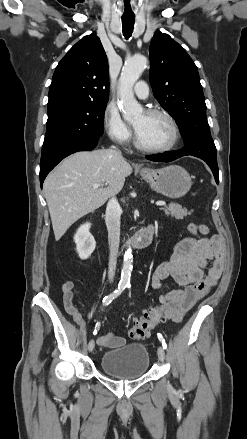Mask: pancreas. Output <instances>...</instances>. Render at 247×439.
I'll return each mask as SVG.
<instances>
[{"label":"pancreas","instance_id":"cf45deb5","mask_svg":"<svg viewBox=\"0 0 247 439\" xmlns=\"http://www.w3.org/2000/svg\"><path fill=\"white\" fill-rule=\"evenodd\" d=\"M165 215L174 217L176 219H183L184 217L191 215V212L186 208H182L179 204L170 203L167 207L162 208Z\"/></svg>","mask_w":247,"mask_h":439}]
</instances>
